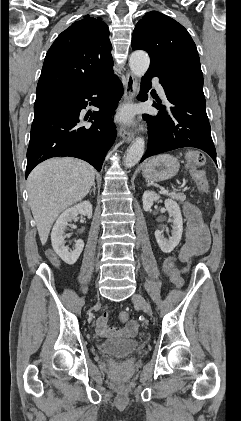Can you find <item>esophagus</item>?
<instances>
[{
  "label": "esophagus",
  "instance_id": "34e87169",
  "mask_svg": "<svg viewBox=\"0 0 241 421\" xmlns=\"http://www.w3.org/2000/svg\"><path fill=\"white\" fill-rule=\"evenodd\" d=\"M136 92H137L136 77L131 72H128L126 74V79H125V95H124L125 102L134 101ZM119 135L120 137L125 139L126 142H131L134 139V132L125 126H122L120 128Z\"/></svg>",
  "mask_w": 241,
  "mask_h": 421
}]
</instances>
